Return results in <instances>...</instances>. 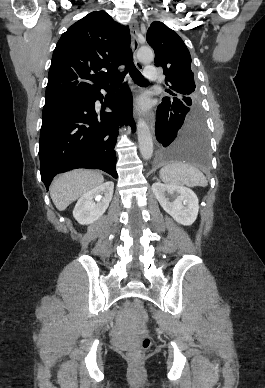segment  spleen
Instances as JSON below:
<instances>
[{
  "instance_id": "obj_1",
  "label": "spleen",
  "mask_w": 265,
  "mask_h": 388,
  "mask_svg": "<svg viewBox=\"0 0 265 388\" xmlns=\"http://www.w3.org/2000/svg\"><path fill=\"white\" fill-rule=\"evenodd\" d=\"M160 180L170 186H207V180L200 170L187 162H170L160 170Z\"/></svg>"
}]
</instances>
